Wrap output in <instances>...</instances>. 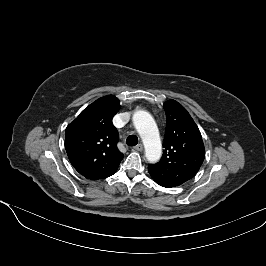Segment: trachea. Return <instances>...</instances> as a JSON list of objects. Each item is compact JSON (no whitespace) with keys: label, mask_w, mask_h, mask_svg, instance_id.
I'll use <instances>...</instances> for the list:
<instances>
[{"label":"trachea","mask_w":266,"mask_h":266,"mask_svg":"<svg viewBox=\"0 0 266 266\" xmlns=\"http://www.w3.org/2000/svg\"><path fill=\"white\" fill-rule=\"evenodd\" d=\"M126 144L128 146H135V145H137L138 144V138H137V136H135V135L128 136L127 139H126Z\"/></svg>","instance_id":"1"}]
</instances>
